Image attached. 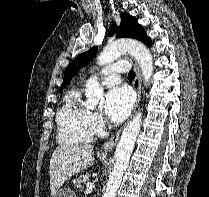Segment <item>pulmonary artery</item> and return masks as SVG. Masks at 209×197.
I'll list each match as a JSON object with an SVG mask.
<instances>
[{"label":"pulmonary artery","mask_w":209,"mask_h":197,"mask_svg":"<svg viewBox=\"0 0 209 197\" xmlns=\"http://www.w3.org/2000/svg\"><path fill=\"white\" fill-rule=\"evenodd\" d=\"M129 64L126 61H119L108 64L99 70L101 83L104 86L111 87L120 83V73H125L129 70Z\"/></svg>","instance_id":"pulmonary-artery-1"}]
</instances>
